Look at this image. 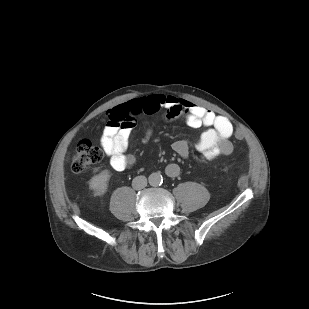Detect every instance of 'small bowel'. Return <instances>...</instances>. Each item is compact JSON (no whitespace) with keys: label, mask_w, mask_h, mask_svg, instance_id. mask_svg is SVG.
Listing matches in <instances>:
<instances>
[{"label":"small bowel","mask_w":309,"mask_h":309,"mask_svg":"<svg viewBox=\"0 0 309 309\" xmlns=\"http://www.w3.org/2000/svg\"><path fill=\"white\" fill-rule=\"evenodd\" d=\"M161 109H167V117L170 119L184 114L190 127L204 126L207 128L196 144L203 161H210L219 155H230L232 153L233 145L230 138L233 135V126L226 117L216 115L210 109L190 101L171 95L156 94L132 99L127 103L116 106L111 111L110 120L101 137V145L109 157L110 166L113 170L121 172L136 164V158L127 154L129 136L134 126L121 125V118L125 114L132 117L139 114H155ZM150 135L151 130H148L146 138ZM173 148L181 157H188L190 151L188 140H177L174 142ZM180 171L181 168L176 163L169 164L166 168V174L169 177H177Z\"/></svg>","instance_id":"c3829d8e"}]
</instances>
